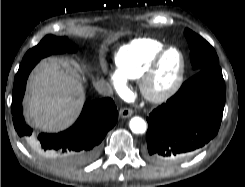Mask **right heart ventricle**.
Masks as SVG:
<instances>
[{"mask_svg":"<svg viewBox=\"0 0 245 187\" xmlns=\"http://www.w3.org/2000/svg\"><path fill=\"white\" fill-rule=\"evenodd\" d=\"M165 44L153 38H141L122 46L115 55L117 74L123 80L140 79Z\"/></svg>","mask_w":245,"mask_h":187,"instance_id":"e07e8e85","label":"right heart ventricle"}]
</instances>
